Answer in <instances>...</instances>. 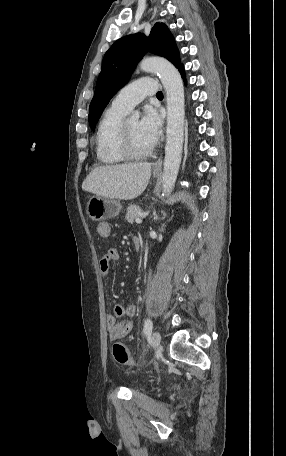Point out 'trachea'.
<instances>
[{
	"label": "trachea",
	"instance_id": "obj_1",
	"mask_svg": "<svg viewBox=\"0 0 286 456\" xmlns=\"http://www.w3.org/2000/svg\"><path fill=\"white\" fill-rule=\"evenodd\" d=\"M157 97H163V93L161 91H158L156 94Z\"/></svg>",
	"mask_w": 286,
	"mask_h": 456
}]
</instances>
